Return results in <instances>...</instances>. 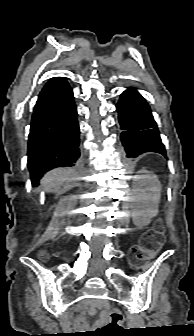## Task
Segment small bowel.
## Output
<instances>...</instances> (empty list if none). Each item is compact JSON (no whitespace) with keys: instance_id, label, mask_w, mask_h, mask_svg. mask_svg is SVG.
<instances>
[{"instance_id":"small-bowel-1","label":"small bowel","mask_w":194,"mask_h":336,"mask_svg":"<svg viewBox=\"0 0 194 336\" xmlns=\"http://www.w3.org/2000/svg\"><path fill=\"white\" fill-rule=\"evenodd\" d=\"M106 306H107V305H106V304H104V305H103V308H106ZM84 322H85V320H84V319H79V320H78V323H84Z\"/></svg>"}]
</instances>
